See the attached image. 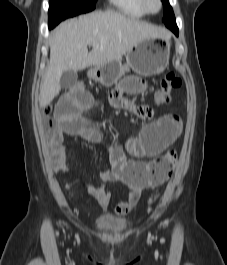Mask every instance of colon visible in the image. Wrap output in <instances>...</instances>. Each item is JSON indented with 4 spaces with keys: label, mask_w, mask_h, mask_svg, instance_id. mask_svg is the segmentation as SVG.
<instances>
[{
    "label": "colon",
    "mask_w": 227,
    "mask_h": 265,
    "mask_svg": "<svg viewBox=\"0 0 227 265\" xmlns=\"http://www.w3.org/2000/svg\"><path fill=\"white\" fill-rule=\"evenodd\" d=\"M181 85V80L174 73H168L160 83V87L155 94V103L156 104H167L171 101L172 91ZM71 87H83L81 84H75ZM45 115H49L51 113V108L47 107L44 110ZM139 114L144 118H150L153 114V110L151 107H142L140 108ZM54 122L52 120H48L47 123V131L48 134L51 135L54 130ZM176 161V154L173 151H170L158 158L155 163L156 172L159 175V180H165L168 178L169 174L172 172ZM155 195H153L149 202H152L155 199Z\"/></svg>",
    "instance_id": "colon-1"
}]
</instances>
